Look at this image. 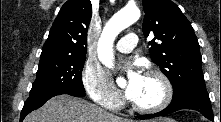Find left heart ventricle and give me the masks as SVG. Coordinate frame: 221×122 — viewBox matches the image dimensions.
<instances>
[{
  "label": "left heart ventricle",
  "mask_w": 221,
  "mask_h": 122,
  "mask_svg": "<svg viewBox=\"0 0 221 122\" xmlns=\"http://www.w3.org/2000/svg\"><path fill=\"white\" fill-rule=\"evenodd\" d=\"M163 95V89L158 79L143 76L141 86L133 99L140 106H152L157 104Z\"/></svg>",
  "instance_id": "b2bd125f"
}]
</instances>
